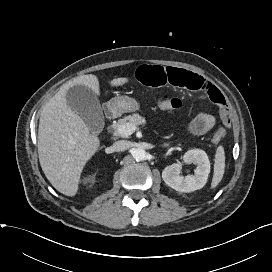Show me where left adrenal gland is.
Here are the masks:
<instances>
[{"instance_id":"obj_1","label":"left adrenal gland","mask_w":272,"mask_h":272,"mask_svg":"<svg viewBox=\"0 0 272 272\" xmlns=\"http://www.w3.org/2000/svg\"><path fill=\"white\" fill-rule=\"evenodd\" d=\"M166 146H168V144L163 145V147H166Z\"/></svg>"}]
</instances>
